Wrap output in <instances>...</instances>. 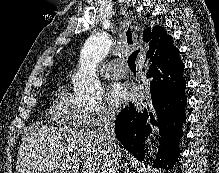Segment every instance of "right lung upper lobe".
I'll return each mask as SVG.
<instances>
[{
	"instance_id": "cb5924a9",
	"label": "right lung upper lobe",
	"mask_w": 219,
	"mask_h": 173,
	"mask_svg": "<svg viewBox=\"0 0 219 173\" xmlns=\"http://www.w3.org/2000/svg\"><path fill=\"white\" fill-rule=\"evenodd\" d=\"M145 41H149V51L147 57L153 62L158 59V56H169L178 52V49L174 47L172 37L166 35L164 29L160 26L148 28L144 30Z\"/></svg>"
}]
</instances>
